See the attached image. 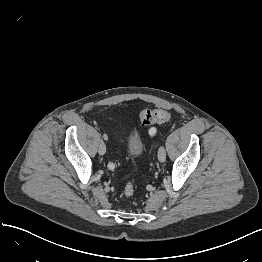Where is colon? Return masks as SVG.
<instances>
[{"instance_id":"obj_1","label":"colon","mask_w":262,"mask_h":262,"mask_svg":"<svg viewBox=\"0 0 262 262\" xmlns=\"http://www.w3.org/2000/svg\"><path fill=\"white\" fill-rule=\"evenodd\" d=\"M139 117L143 124L150 125L153 123H161L170 119V113L161 108L156 109H144L140 112ZM136 192L135 185L132 182L127 183L124 188V194L126 197L134 196Z\"/></svg>"}]
</instances>
